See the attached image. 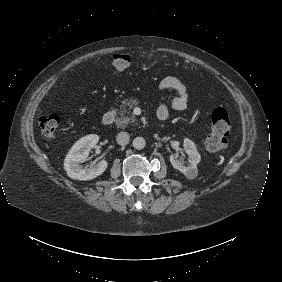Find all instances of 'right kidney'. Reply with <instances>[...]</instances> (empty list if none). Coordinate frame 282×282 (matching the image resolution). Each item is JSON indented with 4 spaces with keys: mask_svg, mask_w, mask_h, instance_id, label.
Masks as SVG:
<instances>
[{
    "mask_svg": "<svg viewBox=\"0 0 282 282\" xmlns=\"http://www.w3.org/2000/svg\"><path fill=\"white\" fill-rule=\"evenodd\" d=\"M99 141V136L89 134L80 138L69 150L64 160V169L67 175L76 180H91L101 175L107 168V161L102 160L96 165L82 168L80 163L84 162L89 155V151Z\"/></svg>",
    "mask_w": 282,
    "mask_h": 282,
    "instance_id": "obj_1",
    "label": "right kidney"
}]
</instances>
